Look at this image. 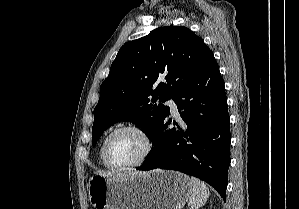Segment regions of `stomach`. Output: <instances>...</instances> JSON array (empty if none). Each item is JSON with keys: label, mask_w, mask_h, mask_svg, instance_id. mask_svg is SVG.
<instances>
[{"label": "stomach", "mask_w": 299, "mask_h": 209, "mask_svg": "<svg viewBox=\"0 0 299 209\" xmlns=\"http://www.w3.org/2000/svg\"><path fill=\"white\" fill-rule=\"evenodd\" d=\"M87 190L95 209H181L193 192L188 176L161 169L123 178L95 174Z\"/></svg>", "instance_id": "1"}]
</instances>
